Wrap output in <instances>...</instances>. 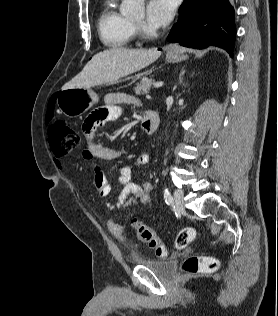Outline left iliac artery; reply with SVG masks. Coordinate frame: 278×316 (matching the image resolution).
I'll use <instances>...</instances> for the list:
<instances>
[{
    "label": "left iliac artery",
    "mask_w": 278,
    "mask_h": 316,
    "mask_svg": "<svg viewBox=\"0 0 278 316\" xmlns=\"http://www.w3.org/2000/svg\"><path fill=\"white\" fill-rule=\"evenodd\" d=\"M163 195H164V199H165L166 204H168V205L174 204V199L167 188H165L163 190Z\"/></svg>",
    "instance_id": "obj_1"
}]
</instances>
